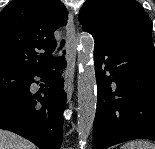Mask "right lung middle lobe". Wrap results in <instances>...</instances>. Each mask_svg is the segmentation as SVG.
I'll return each mask as SVG.
<instances>
[{"instance_id": "obj_1", "label": "right lung middle lobe", "mask_w": 155, "mask_h": 149, "mask_svg": "<svg viewBox=\"0 0 155 149\" xmlns=\"http://www.w3.org/2000/svg\"><path fill=\"white\" fill-rule=\"evenodd\" d=\"M30 75L8 68H0V94H20L28 89Z\"/></svg>"}]
</instances>
